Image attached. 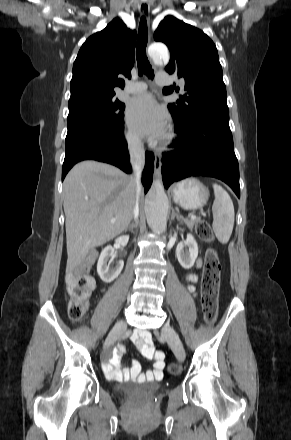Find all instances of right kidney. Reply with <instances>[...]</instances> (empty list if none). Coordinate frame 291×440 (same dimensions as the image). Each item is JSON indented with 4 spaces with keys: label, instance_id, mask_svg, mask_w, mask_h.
Instances as JSON below:
<instances>
[{
    "label": "right kidney",
    "instance_id": "ca27d5eb",
    "mask_svg": "<svg viewBox=\"0 0 291 440\" xmlns=\"http://www.w3.org/2000/svg\"><path fill=\"white\" fill-rule=\"evenodd\" d=\"M129 236H120L115 242L121 245H125L128 242ZM114 248L110 245L105 247L98 259L97 272L100 278L104 282H112L121 273L124 262L123 260H118L116 263L112 264L115 258Z\"/></svg>",
    "mask_w": 291,
    "mask_h": 440
}]
</instances>
